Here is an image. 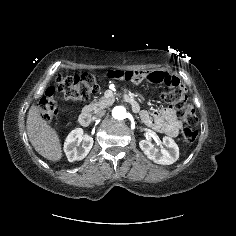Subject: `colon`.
Returning a JSON list of instances; mask_svg holds the SVG:
<instances>
[{
    "label": "colon",
    "mask_w": 236,
    "mask_h": 236,
    "mask_svg": "<svg viewBox=\"0 0 236 236\" xmlns=\"http://www.w3.org/2000/svg\"><path fill=\"white\" fill-rule=\"evenodd\" d=\"M56 83L58 91L69 101L86 100L99 89L95 76L90 73L60 74L56 79ZM161 98L166 103L175 106L178 117L188 124L182 130L184 140L188 143L194 142L198 135V132L194 128L198 122V116L194 106L185 100L184 91L179 86H173L171 90L163 93ZM37 107L46 121L50 122L56 117L58 105L53 87H48L44 91V94L38 101Z\"/></svg>",
    "instance_id": "obj_1"
}]
</instances>
